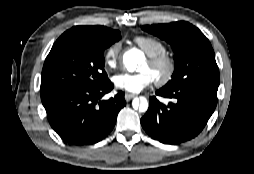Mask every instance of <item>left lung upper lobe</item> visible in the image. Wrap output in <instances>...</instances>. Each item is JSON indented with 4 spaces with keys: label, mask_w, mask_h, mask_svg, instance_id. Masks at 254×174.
Returning a JSON list of instances; mask_svg holds the SVG:
<instances>
[{
    "label": "left lung upper lobe",
    "mask_w": 254,
    "mask_h": 174,
    "mask_svg": "<svg viewBox=\"0 0 254 174\" xmlns=\"http://www.w3.org/2000/svg\"><path fill=\"white\" fill-rule=\"evenodd\" d=\"M142 29L173 47L175 69L164 89L174 90L193 84L218 87L220 76L213 48L198 28L186 21H178L146 25Z\"/></svg>",
    "instance_id": "5c2ea615"
}]
</instances>
